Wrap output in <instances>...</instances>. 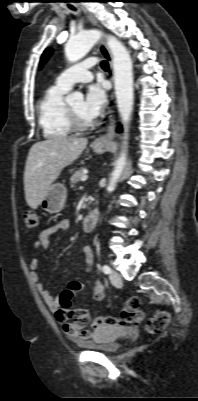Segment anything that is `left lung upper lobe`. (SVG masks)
Instances as JSON below:
<instances>
[{"mask_svg": "<svg viewBox=\"0 0 198 401\" xmlns=\"http://www.w3.org/2000/svg\"><path fill=\"white\" fill-rule=\"evenodd\" d=\"M53 53V49L52 48H47L41 57V62H40V66L42 67V65L48 60V58L51 56V54Z\"/></svg>", "mask_w": 198, "mask_h": 401, "instance_id": "5c2ea615", "label": "left lung upper lobe"}]
</instances>
